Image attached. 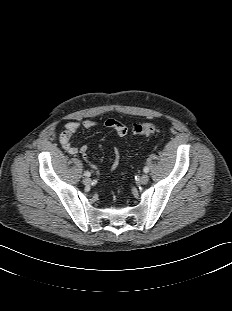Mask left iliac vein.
Instances as JSON below:
<instances>
[{"label":"left iliac vein","mask_w":232,"mask_h":311,"mask_svg":"<svg viewBox=\"0 0 232 311\" xmlns=\"http://www.w3.org/2000/svg\"><path fill=\"white\" fill-rule=\"evenodd\" d=\"M141 184H146L149 181V176L147 174H143L139 179Z\"/></svg>","instance_id":"left-iliac-vein-1"}]
</instances>
